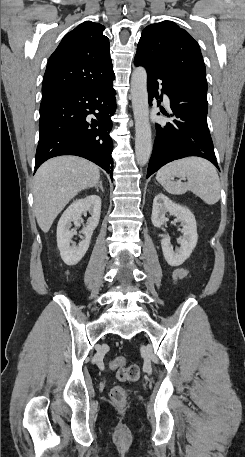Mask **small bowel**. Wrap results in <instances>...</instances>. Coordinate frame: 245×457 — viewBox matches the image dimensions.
I'll list each match as a JSON object with an SVG mask.
<instances>
[{
    "mask_svg": "<svg viewBox=\"0 0 245 457\" xmlns=\"http://www.w3.org/2000/svg\"><path fill=\"white\" fill-rule=\"evenodd\" d=\"M68 275V272L65 273ZM188 274L187 269L185 268H177L172 273V279L174 282H177L180 279H183Z\"/></svg>",
    "mask_w": 245,
    "mask_h": 457,
    "instance_id": "small-bowel-1",
    "label": "small bowel"
}]
</instances>
